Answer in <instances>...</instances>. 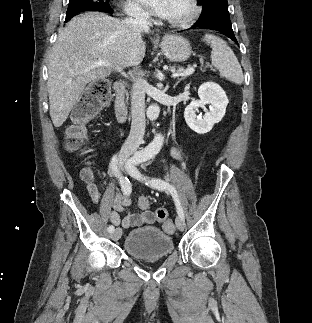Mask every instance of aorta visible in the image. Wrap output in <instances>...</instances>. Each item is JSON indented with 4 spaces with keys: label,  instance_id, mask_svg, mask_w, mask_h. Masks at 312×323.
<instances>
[{
    "label": "aorta",
    "instance_id": "obj_1",
    "mask_svg": "<svg viewBox=\"0 0 312 323\" xmlns=\"http://www.w3.org/2000/svg\"><path fill=\"white\" fill-rule=\"evenodd\" d=\"M160 108L155 104V106H149L147 110V118L151 120V122H154V120H157L159 116ZM164 144V136L163 134H155L153 142L147 146V152L149 154H158L160 152L162 146Z\"/></svg>",
    "mask_w": 312,
    "mask_h": 323
}]
</instances>
